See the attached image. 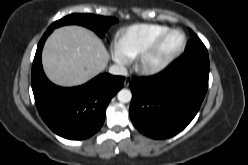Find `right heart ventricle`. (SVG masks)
Returning a JSON list of instances; mask_svg holds the SVG:
<instances>
[{
    "instance_id": "e07e8e85",
    "label": "right heart ventricle",
    "mask_w": 248,
    "mask_h": 165,
    "mask_svg": "<svg viewBox=\"0 0 248 165\" xmlns=\"http://www.w3.org/2000/svg\"><path fill=\"white\" fill-rule=\"evenodd\" d=\"M168 27L161 24L141 23L123 29L117 39V47L128 58H136L140 52Z\"/></svg>"
}]
</instances>
